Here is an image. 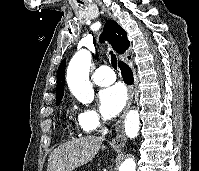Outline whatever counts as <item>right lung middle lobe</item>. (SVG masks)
Listing matches in <instances>:
<instances>
[{"instance_id": "obj_1", "label": "right lung middle lobe", "mask_w": 199, "mask_h": 171, "mask_svg": "<svg viewBox=\"0 0 199 171\" xmlns=\"http://www.w3.org/2000/svg\"><path fill=\"white\" fill-rule=\"evenodd\" d=\"M61 102V99L56 100V104L59 105Z\"/></svg>"}]
</instances>
